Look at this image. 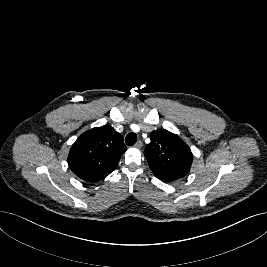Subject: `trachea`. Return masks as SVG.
<instances>
[{
	"label": "trachea",
	"instance_id": "trachea-1",
	"mask_svg": "<svg viewBox=\"0 0 267 267\" xmlns=\"http://www.w3.org/2000/svg\"><path fill=\"white\" fill-rule=\"evenodd\" d=\"M137 141V135L133 132L127 134L125 142L128 146H133Z\"/></svg>",
	"mask_w": 267,
	"mask_h": 267
}]
</instances>
